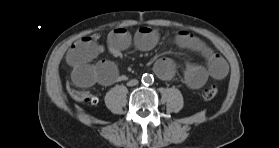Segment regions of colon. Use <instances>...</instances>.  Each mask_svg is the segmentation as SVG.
Segmentation results:
<instances>
[{
    "label": "colon",
    "instance_id": "5ec220e1",
    "mask_svg": "<svg viewBox=\"0 0 279 148\" xmlns=\"http://www.w3.org/2000/svg\"><path fill=\"white\" fill-rule=\"evenodd\" d=\"M72 94L75 97V99L81 102L92 103V104L97 102V98L89 92L72 90ZM217 94H218L217 87L215 85H211L205 88L202 91L201 95L204 99L211 100L215 98Z\"/></svg>",
    "mask_w": 279,
    "mask_h": 148
}]
</instances>
